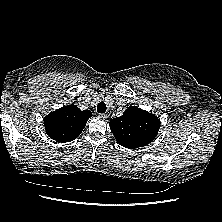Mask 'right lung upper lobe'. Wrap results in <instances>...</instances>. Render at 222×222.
I'll use <instances>...</instances> for the list:
<instances>
[{
    "label": "right lung upper lobe",
    "mask_w": 222,
    "mask_h": 222,
    "mask_svg": "<svg viewBox=\"0 0 222 222\" xmlns=\"http://www.w3.org/2000/svg\"><path fill=\"white\" fill-rule=\"evenodd\" d=\"M91 116L90 110L81 111L74 104L63 106L44 118L46 133L58 142L73 141Z\"/></svg>",
    "instance_id": "1"
}]
</instances>
